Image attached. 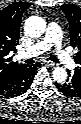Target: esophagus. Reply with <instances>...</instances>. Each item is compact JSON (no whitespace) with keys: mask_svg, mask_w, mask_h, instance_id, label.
I'll return each instance as SVG.
<instances>
[{"mask_svg":"<svg viewBox=\"0 0 81 124\" xmlns=\"http://www.w3.org/2000/svg\"><path fill=\"white\" fill-rule=\"evenodd\" d=\"M46 64L50 67H56L57 64H55L54 62H51V61H47Z\"/></svg>","mask_w":81,"mask_h":124,"instance_id":"34e87169","label":"esophagus"}]
</instances>
